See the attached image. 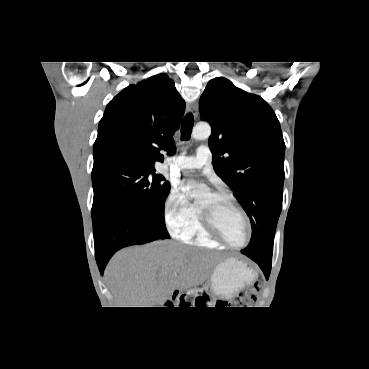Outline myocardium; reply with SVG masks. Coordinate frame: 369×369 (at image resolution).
Instances as JSON below:
<instances>
[{
	"mask_svg": "<svg viewBox=\"0 0 369 369\" xmlns=\"http://www.w3.org/2000/svg\"><path fill=\"white\" fill-rule=\"evenodd\" d=\"M216 198H224L230 200L241 212L247 229V236L245 241L242 244H233L229 242L218 230L212 216L210 213L202 209L201 207L198 208L199 210V216L201 224L204 228V230L207 232V234L219 242L220 244H223L227 247L233 248V249H242L245 248L251 241L252 238V225L249 218V215L245 208L239 203V201L229 192L226 191H215L211 193Z\"/></svg>",
	"mask_w": 369,
	"mask_h": 369,
	"instance_id": "f54148a6",
	"label": "myocardium"
}]
</instances>
